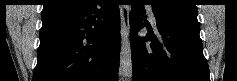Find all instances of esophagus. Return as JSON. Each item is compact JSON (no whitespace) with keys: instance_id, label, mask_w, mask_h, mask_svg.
<instances>
[{"instance_id":"obj_1","label":"esophagus","mask_w":237,"mask_h":81,"mask_svg":"<svg viewBox=\"0 0 237 81\" xmlns=\"http://www.w3.org/2000/svg\"><path fill=\"white\" fill-rule=\"evenodd\" d=\"M120 17H121V37L126 40L129 36V9L125 5L120 6Z\"/></svg>"}]
</instances>
